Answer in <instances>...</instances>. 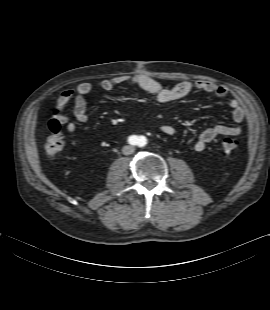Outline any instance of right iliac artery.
<instances>
[{"label":"right iliac artery","mask_w":270,"mask_h":310,"mask_svg":"<svg viewBox=\"0 0 270 310\" xmlns=\"http://www.w3.org/2000/svg\"><path fill=\"white\" fill-rule=\"evenodd\" d=\"M129 142H130L131 144H136V143H137V137H136V136H131V137L129 138Z\"/></svg>","instance_id":"82829eb1"}]
</instances>
